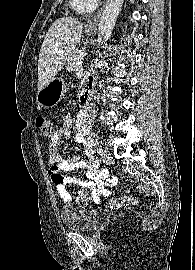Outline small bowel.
<instances>
[{
    "instance_id": "c3829d8e",
    "label": "small bowel",
    "mask_w": 195,
    "mask_h": 270,
    "mask_svg": "<svg viewBox=\"0 0 195 270\" xmlns=\"http://www.w3.org/2000/svg\"><path fill=\"white\" fill-rule=\"evenodd\" d=\"M91 115L88 111H80L74 134V141L81 146L82 151L89 158V163L81 161L77 155L62 159L59 154V145L64 139L71 135V117L67 114L63 123L50 136L49 141V175L56 186L57 193L64 203L71 201V195L67 185H76L81 188L78 191L77 202L100 203V196H109V188L117 183V178L109 174V171L102 168L94 159L93 134L90 130ZM82 170L84 177L63 176L61 172H72ZM92 191L90 195L89 191Z\"/></svg>"
}]
</instances>
